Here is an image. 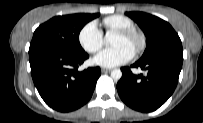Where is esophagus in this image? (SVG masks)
Listing matches in <instances>:
<instances>
[{"instance_id":"obj_1","label":"esophagus","mask_w":203,"mask_h":123,"mask_svg":"<svg viewBox=\"0 0 203 123\" xmlns=\"http://www.w3.org/2000/svg\"><path fill=\"white\" fill-rule=\"evenodd\" d=\"M101 71H102L103 73H106V72L111 71V69H109V68H101Z\"/></svg>"}]
</instances>
